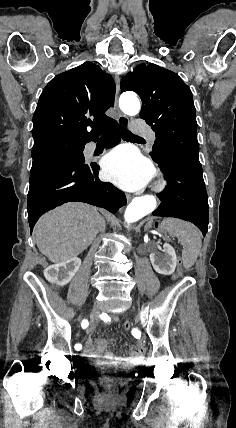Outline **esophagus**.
Returning <instances> with one entry per match:
<instances>
[{"instance_id":"1","label":"esophagus","mask_w":236,"mask_h":428,"mask_svg":"<svg viewBox=\"0 0 236 428\" xmlns=\"http://www.w3.org/2000/svg\"><path fill=\"white\" fill-rule=\"evenodd\" d=\"M115 82H116V96H115V105H114V108H118L117 107V102H118V97H119V92H120V78H119V76L118 75H115ZM118 122L120 123V125H122V126H126V127H128L129 126V120H128V118L125 116V115H123L122 113H119V116H118ZM128 198H131L130 196H128Z\"/></svg>"}]
</instances>
